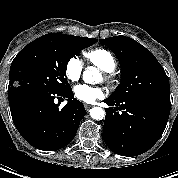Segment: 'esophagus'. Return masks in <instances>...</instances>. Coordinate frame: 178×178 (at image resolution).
Here are the masks:
<instances>
[{"label":"esophagus","instance_id":"esophagus-1","mask_svg":"<svg viewBox=\"0 0 178 178\" xmlns=\"http://www.w3.org/2000/svg\"><path fill=\"white\" fill-rule=\"evenodd\" d=\"M84 107H85L86 110H89L91 107H93V105L84 104Z\"/></svg>","mask_w":178,"mask_h":178}]
</instances>
